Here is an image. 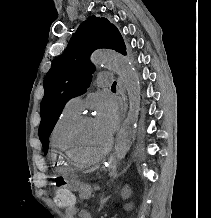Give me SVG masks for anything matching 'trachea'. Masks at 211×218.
Returning <instances> with one entry per match:
<instances>
[{"label": "trachea", "mask_w": 211, "mask_h": 218, "mask_svg": "<svg viewBox=\"0 0 211 218\" xmlns=\"http://www.w3.org/2000/svg\"><path fill=\"white\" fill-rule=\"evenodd\" d=\"M111 88H116V82L113 83Z\"/></svg>", "instance_id": "obj_1"}]
</instances>
